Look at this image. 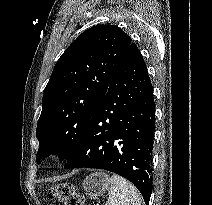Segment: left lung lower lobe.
Segmentation results:
<instances>
[{"instance_id": "obj_1", "label": "left lung lower lobe", "mask_w": 212, "mask_h": 205, "mask_svg": "<svg viewBox=\"0 0 212 205\" xmlns=\"http://www.w3.org/2000/svg\"><path fill=\"white\" fill-rule=\"evenodd\" d=\"M154 132L151 80L139 49L131 43L78 150L64 168H98L117 173L131 181L149 205Z\"/></svg>"}]
</instances>
